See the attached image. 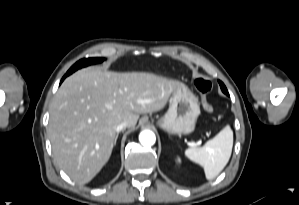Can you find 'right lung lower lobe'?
<instances>
[{
    "label": "right lung lower lobe",
    "mask_w": 299,
    "mask_h": 205,
    "mask_svg": "<svg viewBox=\"0 0 299 205\" xmlns=\"http://www.w3.org/2000/svg\"><path fill=\"white\" fill-rule=\"evenodd\" d=\"M66 78V75L62 78L61 82Z\"/></svg>",
    "instance_id": "1"
}]
</instances>
